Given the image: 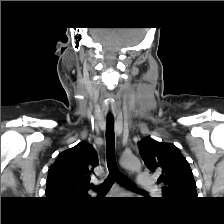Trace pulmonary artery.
Returning <instances> with one entry per match:
<instances>
[{
	"label": "pulmonary artery",
	"instance_id": "1",
	"mask_svg": "<svg viewBox=\"0 0 224 224\" xmlns=\"http://www.w3.org/2000/svg\"><path fill=\"white\" fill-rule=\"evenodd\" d=\"M138 184L146 189L156 187L154 178L147 173H139L137 177Z\"/></svg>",
	"mask_w": 224,
	"mask_h": 224
}]
</instances>
